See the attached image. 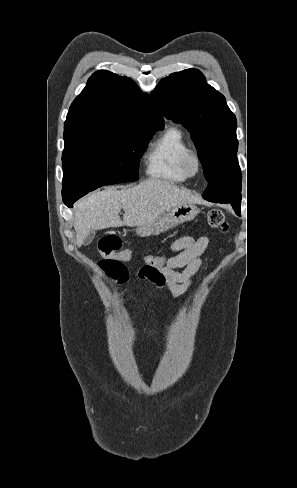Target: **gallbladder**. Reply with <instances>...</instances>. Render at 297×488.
I'll list each match as a JSON object with an SVG mask.
<instances>
[{"label": "gallbladder", "instance_id": "1", "mask_svg": "<svg viewBox=\"0 0 297 488\" xmlns=\"http://www.w3.org/2000/svg\"><path fill=\"white\" fill-rule=\"evenodd\" d=\"M94 236H95V231H94V230H91V231L88 233L87 238L85 239V242H84V243H85V245H89V244L92 242V240H93Z\"/></svg>", "mask_w": 297, "mask_h": 488}]
</instances>
